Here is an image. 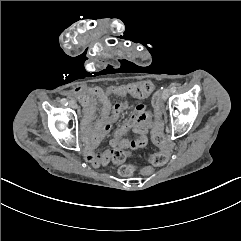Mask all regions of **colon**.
Masks as SVG:
<instances>
[{
	"instance_id": "obj_1",
	"label": "colon",
	"mask_w": 241,
	"mask_h": 241,
	"mask_svg": "<svg viewBox=\"0 0 241 241\" xmlns=\"http://www.w3.org/2000/svg\"><path fill=\"white\" fill-rule=\"evenodd\" d=\"M161 89H164V88H161ZM152 91H153V86L148 81H143L140 84L132 83L127 88L128 95L130 97L134 98V99H139L142 96H148V95H150L152 93ZM153 104H154L155 110L159 111L160 107H159V102H158L157 95H156V97L153 98ZM156 116L160 117L161 113L157 112ZM152 139H153L154 143H156L157 145L161 146L163 149L161 150L162 151L161 154H153V155H151L149 157V161L154 166L163 165L166 162V160H167V158H166L167 155H166V152H165L166 151L165 149L167 148L165 145L167 143H166V138L163 135V129H162L161 125H158L154 129V132H153V135H152ZM126 155H127L126 152L125 153H111L110 157H111V159L114 162L121 163L126 158ZM152 165L148 164V165H144L142 167V170H143L142 174H143V176H145V177L150 176L151 172L154 169ZM118 171L122 175L126 174L128 172H130L131 174L134 175V174L137 173L138 170L134 166L131 167L130 165L125 164L122 167H120Z\"/></svg>"
}]
</instances>
